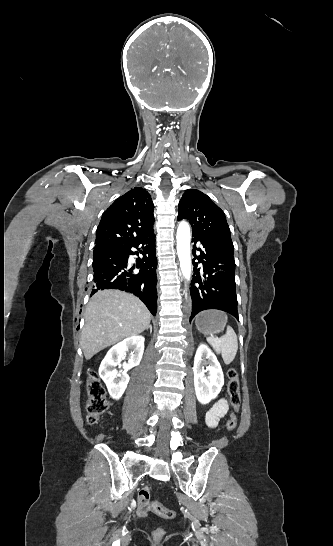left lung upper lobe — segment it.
Masks as SVG:
<instances>
[{
  "instance_id": "1",
  "label": "left lung upper lobe",
  "mask_w": 333,
  "mask_h": 546,
  "mask_svg": "<svg viewBox=\"0 0 333 546\" xmlns=\"http://www.w3.org/2000/svg\"><path fill=\"white\" fill-rule=\"evenodd\" d=\"M186 219L193 232L218 239L230 245L234 250L230 229L224 212L204 193L188 189L183 194L178 208V220ZM219 269H226V263L220 262Z\"/></svg>"
}]
</instances>
